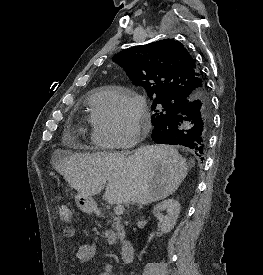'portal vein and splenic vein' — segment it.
<instances>
[{
	"label": "portal vein and splenic vein",
	"instance_id": "18ae733b",
	"mask_svg": "<svg viewBox=\"0 0 263 275\" xmlns=\"http://www.w3.org/2000/svg\"><path fill=\"white\" fill-rule=\"evenodd\" d=\"M114 212L116 215H122L124 212V206L121 204H118L115 208H114Z\"/></svg>",
	"mask_w": 263,
	"mask_h": 275
}]
</instances>
